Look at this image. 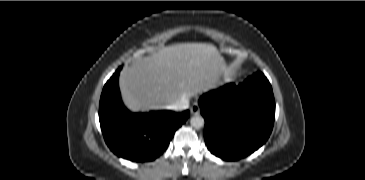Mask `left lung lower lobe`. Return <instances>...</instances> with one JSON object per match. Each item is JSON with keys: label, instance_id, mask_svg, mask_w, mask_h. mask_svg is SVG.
Returning <instances> with one entry per match:
<instances>
[{"label": "left lung lower lobe", "instance_id": "obj_1", "mask_svg": "<svg viewBox=\"0 0 365 180\" xmlns=\"http://www.w3.org/2000/svg\"><path fill=\"white\" fill-rule=\"evenodd\" d=\"M199 105L206 145L223 160L248 156L271 134L275 100L271 84L261 72L237 86L230 83L203 94Z\"/></svg>", "mask_w": 365, "mask_h": 180}]
</instances>
